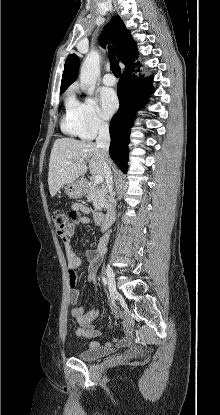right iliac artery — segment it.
I'll return each mask as SVG.
<instances>
[{
    "instance_id": "1",
    "label": "right iliac artery",
    "mask_w": 220,
    "mask_h": 415,
    "mask_svg": "<svg viewBox=\"0 0 220 415\" xmlns=\"http://www.w3.org/2000/svg\"><path fill=\"white\" fill-rule=\"evenodd\" d=\"M102 282H103V284L106 286L107 285V280H106V278L104 277V276H102Z\"/></svg>"
}]
</instances>
